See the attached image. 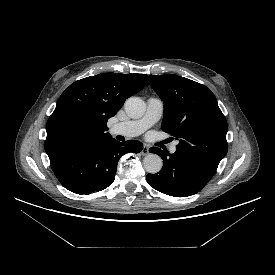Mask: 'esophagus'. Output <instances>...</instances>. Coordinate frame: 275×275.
Masks as SVG:
<instances>
[{"label":"esophagus","mask_w":275,"mask_h":275,"mask_svg":"<svg viewBox=\"0 0 275 275\" xmlns=\"http://www.w3.org/2000/svg\"><path fill=\"white\" fill-rule=\"evenodd\" d=\"M141 154H142V155H147V154H149V147H148V146H144V147L142 148Z\"/></svg>","instance_id":"1"}]
</instances>
